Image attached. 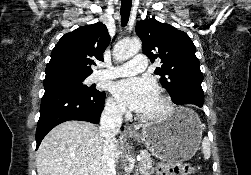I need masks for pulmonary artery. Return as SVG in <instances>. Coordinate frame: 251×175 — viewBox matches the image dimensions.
<instances>
[{
    "label": "pulmonary artery",
    "mask_w": 251,
    "mask_h": 175,
    "mask_svg": "<svg viewBox=\"0 0 251 175\" xmlns=\"http://www.w3.org/2000/svg\"><path fill=\"white\" fill-rule=\"evenodd\" d=\"M149 66L148 58H145V52H137L134 58V62H125L121 65L114 66L110 69L106 76L119 77L137 73L141 70H147Z\"/></svg>",
    "instance_id": "pulmonary-artery-1"
}]
</instances>
